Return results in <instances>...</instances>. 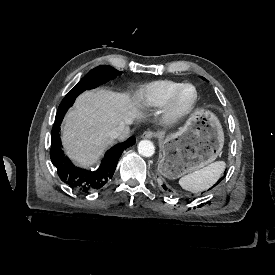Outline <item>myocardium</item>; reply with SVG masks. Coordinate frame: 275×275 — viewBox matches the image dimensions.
I'll list each match as a JSON object with an SVG mask.
<instances>
[{"label":"myocardium","mask_w":275,"mask_h":275,"mask_svg":"<svg viewBox=\"0 0 275 275\" xmlns=\"http://www.w3.org/2000/svg\"><path fill=\"white\" fill-rule=\"evenodd\" d=\"M186 89L191 90V96L186 101H183L181 95ZM197 100L198 92L194 85L190 83L179 84L165 106V122L167 124H174L186 118L196 105Z\"/></svg>","instance_id":"f54148a6"}]
</instances>
